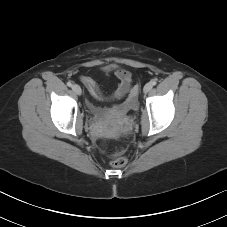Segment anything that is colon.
Returning a JSON list of instances; mask_svg holds the SVG:
<instances>
[{
    "label": "colon",
    "instance_id": "obj_1",
    "mask_svg": "<svg viewBox=\"0 0 227 227\" xmlns=\"http://www.w3.org/2000/svg\"><path fill=\"white\" fill-rule=\"evenodd\" d=\"M123 153V150H120L118 152V156H115L112 160H111V165L113 167H123L126 163H127V159L126 157L122 156L121 154Z\"/></svg>",
    "mask_w": 227,
    "mask_h": 227
}]
</instances>
